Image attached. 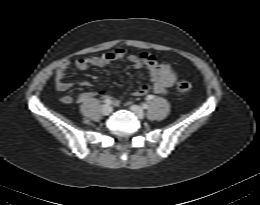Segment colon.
Segmentation results:
<instances>
[{"mask_svg": "<svg viewBox=\"0 0 260 205\" xmlns=\"http://www.w3.org/2000/svg\"><path fill=\"white\" fill-rule=\"evenodd\" d=\"M176 88L180 92H187V91L191 90L192 86H191L190 82H188L186 80H179L176 83Z\"/></svg>", "mask_w": 260, "mask_h": 205, "instance_id": "5ec220e1", "label": "colon"}]
</instances>
